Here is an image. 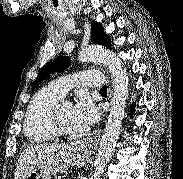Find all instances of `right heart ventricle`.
Listing matches in <instances>:
<instances>
[{"label": "right heart ventricle", "instance_id": "e07e8e85", "mask_svg": "<svg viewBox=\"0 0 183 179\" xmlns=\"http://www.w3.org/2000/svg\"><path fill=\"white\" fill-rule=\"evenodd\" d=\"M62 98L50 87L40 89L32 98L24 121L25 135L32 141L44 142L55 134L50 127V113L53 106Z\"/></svg>", "mask_w": 183, "mask_h": 179}]
</instances>
